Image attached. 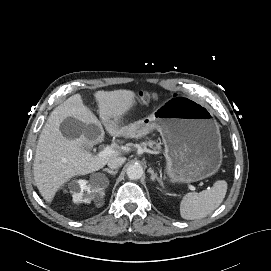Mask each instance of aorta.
<instances>
[{
  "instance_id": "obj_1",
  "label": "aorta",
  "mask_w": 271,
  "mask_h": 271,
  "mask_svg": "<svg viewBox=\"0 0 271 271\" xmlns=\"http://www.w3.org/2000/svg\"><path fill=\"white\" fill-rule=\"evenodd\" d=\"M143 173H144L143 168L139 164H133L127 168V176L131 180L140 179Z\"/></svg>"
}]
</instances>
